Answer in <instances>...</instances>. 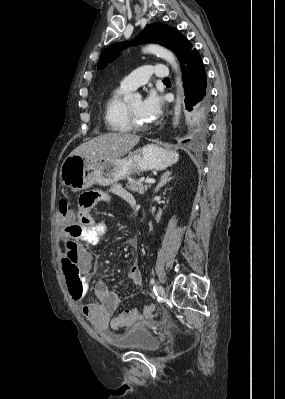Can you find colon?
I'll use <instances>...</instances> for the list:
<instances>
[{
    "instance_id": "colon-1",
    "label": "colon",
    "mask_w": 285,
    "mask_h": 399,
    "mask_svg": "<svg viewBox=\"0 0 285 399\" xmlns=\"http://www.w3.org/2000/svg\"><path fill=\"white\" fill-rule=\"evenodd\" d=\"M98 200L97 194L94 192L87 193L80 200V205L85 208L92 207ZM71 208V201L68 198H63L59 202V209L61 214L66 213ZM62 269L66 279V284L69 292L75 299L81 297L82 282H81V269L77 262L75 252H70L68 257L62 259ZM152 313L151 307H133L125 309L114 317L111 321V326L114 329L124 328L136 323L141 317L149 316Z\"/></svg>"
}]
</instances>
